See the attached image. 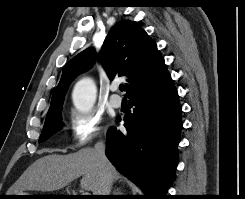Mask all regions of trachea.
<instances>
[{
  "label": "trachea",
  "instance_id": "3493384b",
  "mask_svg": "<svg viewBox=\"0 0 245 199\" xmlns=\"http://www.w3.org/2000/svg\"><path fill=\"white\" fill-rule=\"evenodd\" d=\"M119 89H120V91H123V90H124V85L121 84V85L119 86Z\"/></svg>",
  "mask_w": 245,
  "mask_h": 199
}]
</instances>
